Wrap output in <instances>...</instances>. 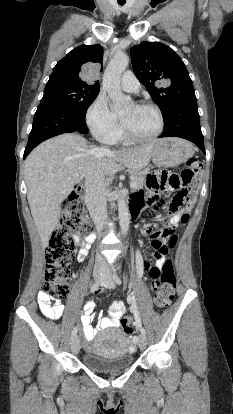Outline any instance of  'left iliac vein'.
<instances>
[{"mask_svg":"<svg viewBox=\"0 0 233 414\" xmlns=\"http://www.w3.org/2000/svg\"><path fill=\"white\" fill-rule=\"evenodd\" d=\"M102 285L106 288H109V289L115 287L114 280H113L112 275L110 274L109 271H106L104 273L103 278H102ZM146 345H147L146 337H145V335L141 334L139 336V339H138V346L141 350H143V349L146 348Z\"/></svg>","mask_w":233,"mask_h":414,"instance_id":"4c4485c4","label":"left iliac vein"}]
</instances>
